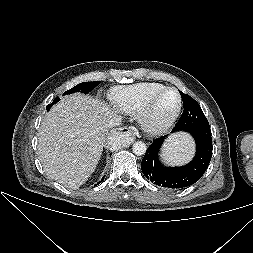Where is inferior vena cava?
Listing matches in <instances>:
<instances>
[{"mask_svg":"<svg viewBox=\"0 0 253 253\" xmlns=\"http://www.w3.org/2000/svg\"><path fill=\"white\" fill-rule=\"evenodd\" d=\"M121 121H122V117L119 115H113L109 118L107 126L108 127H116V126H120L121 125Z\"/></svg>","mask_w":253,"mask_h":253,"instance_id":"obj_1","label":"inferior vena cava"}]
</instances>
